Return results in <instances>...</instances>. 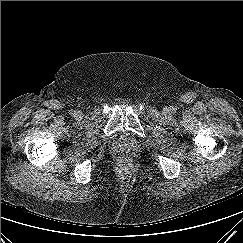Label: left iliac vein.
I'll use <instances>...</instances> for the list:
<instances>
[{
    "label": "left iliac vein",
    "mask_w": 243,
    "mask_h": 243,
    "mask_svg": "<svg viewBox=\"0 0 243 243\" xmlns=\"http://www.w3.org/2000/svg\"><path fill=\"white\" fill-rule=\"evenodd\" d=\"M169 113V108H167V107H165L164 109H163V114H168Z\"/></svg>",
    "instance_id": "left-iliac-vein-1"
}]
</instances>
